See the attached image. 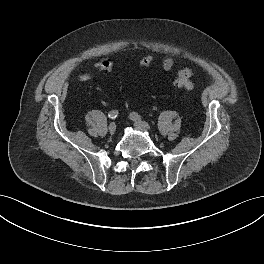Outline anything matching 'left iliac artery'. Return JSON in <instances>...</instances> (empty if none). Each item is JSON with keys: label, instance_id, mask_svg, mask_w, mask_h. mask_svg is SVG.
<instances>
[{"label": "left iliac artery", "instance_id": "obj_1", "mask_svg": "<svg viewBox=\"0 0 264 264\" xmlns=\"http://www.w3.org/2000/svg\"><path fill=\"white\" fill-rule=\"evenodd\" d=\"M130 118H131L132 120H140L142 117H141V115H139L138 113H136V112H132V113H130Z\"/></svg>", "mask_w": 264, "mask_h": 264}]
</instances>
